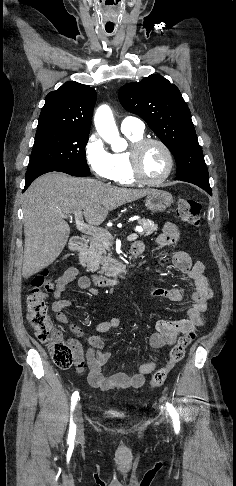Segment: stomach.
<instances>
[{"label": "stomach", "mask_w": 236, "mask_h": 486, "mask_svg": "<svg viewBox=\"0 0 236 486\" xmlns=\"http://www.w3.org/2000/svg\"><path fill=\"white\" fill-rule=\"evenodd\" d=\"M173 203L172 195L164 190H153L147 194L145 205L152 212L166 210Z\"/></svg>", "instance_id": "0dacf381"}]
</instances>
